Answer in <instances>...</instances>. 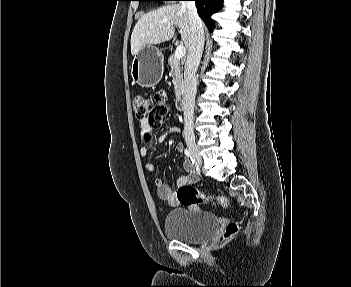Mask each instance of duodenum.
Wrapping results in <instances>:
<instances>
[{"label": "duodenum", "instance_id": "duodenum-1", "mask_svg": "<svg viewBox=\"0 0 351 287\" xmlns=\"http://www.w3.org/2000/svg\"><path fill=\"white\" fill-rule=\"evenodd\" d=\"M176 107L179 110H184L186 108V95L183 91H180L176 95Z\"/></svg>", "mask_w": 351, "mask_h": 287}]
</instances>
